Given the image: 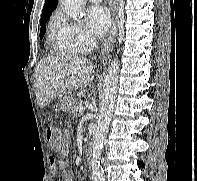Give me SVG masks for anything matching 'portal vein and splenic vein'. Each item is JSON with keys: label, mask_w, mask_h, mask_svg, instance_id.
I'll use <instances>...</instances> for the list:
<instances>
[{"label": "portal vein and splenic vein", "mask_w": 197, "mask_h": 181, "mask_svg": "<svg viewBox=\"0 0 197 181\" xmlns=\"http://www.w3.org/2000/svg\"><path fill=\"white\" fill-rule=\"evenodd\" d=\"M78 112H79V114H82L84 112V107H82V106L79 107Z\"/></svg>", "instance_id": "18ae733b"}]
</instances>
